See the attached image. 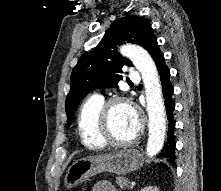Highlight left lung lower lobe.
<instances>
[{"label":"left lung lower lobe","mask_w":221,"mask_h":191,"mask_svg":"<svg viewBox=\"0 0 221 191\" xmlns=\"http://www.w3.org/2000/svg\"><path fill=\"white\" fill-rule=\"evenodd\" d=\"M148 52L155 60L160 75L162 92L166 107V115L168 119L167 138L166 141L164 142L163 148L161 149L159 158H165L168 162L173 164L175 161V145H176V141L174 138L175 121L173 119V111L175 109V104L172 100L173 87L171 86L169 81L170 71L165 64L164 55L160 51L156 39L152 41L148 49Z\"/></svg>","instance_id":"0a47b994"}]
</instances>
